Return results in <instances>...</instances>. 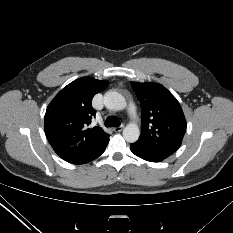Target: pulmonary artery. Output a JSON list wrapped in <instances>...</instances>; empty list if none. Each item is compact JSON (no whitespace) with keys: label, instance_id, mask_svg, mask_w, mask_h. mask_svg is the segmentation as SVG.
<instances>
[{"label":"pulmonary artery","instance_id":"1","mask_svg":"<svg viewBox=\"0 0 233 233\" xmlns=\"http://www.w3.org/2000/svg\"><path fill=\"white\" fill-rule=\"evenodd\" d=\"M129 113L131 114V116L134 118V119H138V113H137V109L135 107V105L133 103H131L129 105Z\"/></svg>","mask_w":233,"mask_h":233}]
</instances>
